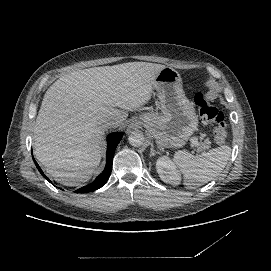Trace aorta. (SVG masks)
<instances>
[{
	"label": "aorta",
	"mask_w": 271,
	"mask_h": 271,
	"mask_svg": "<svg viewBox=\"0 0 271 271\" xmlns=\"http://www.w3.org/2000/svg\"><path fill=\"white\" fill-rule=\"evenodd\" d=\"M144 140H145V137L141 131H133L128 137V141H129L130 145H132L134 147L141 146L143 144Z\"/></svg>",
	"instance_id": "aorta-1"
}]
</instances>
